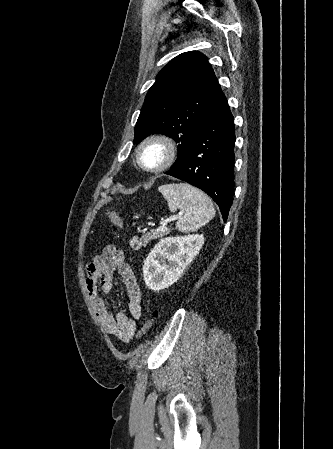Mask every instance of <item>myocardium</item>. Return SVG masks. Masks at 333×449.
<instances>
[{
	"mask_svg": "<svg viewBox=\"0 0 333 449\" xmlns=\"http://www.w3.org/2000/svg\"><path fill=\"white\" fill-rule=\"evenodd\" d=\"M152 146L158 147L163 154L161 162L153 167L146 165L142 160V154L144 150ZM176 156H177L176 144L170 137L162 134H154L146 137L144 140L141 141V143L137 146L136 149L137 165L144 172L149 174H158L165 171L173 164Z\"/></svg>",
	"mask_w": 333,
	"mask_h": 449,
	"instance_id": "f54148a6",
	"label": "myocardium"
}]
</instances>
